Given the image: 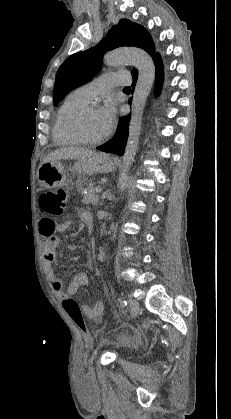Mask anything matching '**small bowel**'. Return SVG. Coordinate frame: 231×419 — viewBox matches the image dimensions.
<instances>
[{"label": "small bowel", "mask_w": 231, "mask_h": 419, "mask_svg": "<svg viewBox=\"0 0 231 419\" xmlns=\"http://www.w3.org/2000/svg\"><path fill=\"white\" fill-rule=\"evenodd\" d=\"M80 219L87 226L91 227L93 223L92 215L85 210L80 211ZM71 220H65L61 223H55L50 218L41 219L39 222V232L46 238L44 245V258L48 266V273L51 279V287L56 295L65 300L72 298L80 288L88 284L89 278L85 272H78L74 275L67 288L64 290L63 281L56 275L53 264L57 261V249L60 243L59 238L55 235L56 232L64 233L71 227ZM81 313L91 319L99 320L104 311V302L97 300L93 306L85 304L79 305Z\"/></svg>", "instance_id": "small-bowel-1"}]
</instances>
